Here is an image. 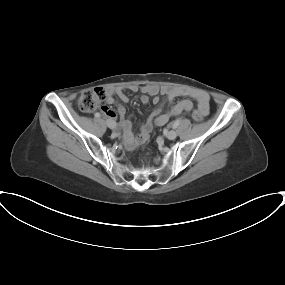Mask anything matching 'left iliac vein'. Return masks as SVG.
<instances>
[{
    "label": "left iliac vein",
    "instance_id": "1",
    "mask_svg": "<svg viewBox=\"0 0 285 285\" xmlns=\"http://www.w3.org/2000/svg\"><path fill=\"white\" fill-rule=\"evenodd\" d=\"M167 138L170 140H174L177 137V132L174 130H170L166 134Z\"/></svg>",
    "mask_w": 285,
    "mask_h": 285
}]
</instances>
